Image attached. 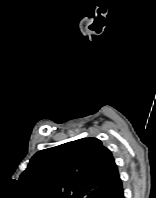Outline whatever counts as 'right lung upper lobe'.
Returning <instances> with one entry per match:
<instances>
[{
	"instance_id": "right-lung-upper-lobe-1",
	"label": "right lung upper lobe",
	"mask_w": 156,
	"mask_h": 198,
	"mask_svg": "<svg viewBox=\"0 0 156 198\" xmlns=\"http://www.w3.org/2000/svg\"><path fill=\"white\" fill-rule=\"evenodd\" d=\"M20 180L40 198H112L123 188L111 151L96 138L36 153Z\"/></svg>"
}]
</instances>
